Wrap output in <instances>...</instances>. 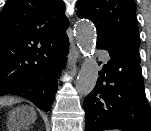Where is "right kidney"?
I'll return each instance as SVG.
<instances>
[{
    "label": "right kidney",
    "mask_w": 151,
    "mask_h": 131,
    "mask_svg": "<svg viewBox=\"0 0 151 131\" xmlns=\"http://www.w3.org/2000/svg\"><path fill=\"white\" fill-rule=\"evenodd\" d=\"M11 130H12V131H14V130L16 131V127H13Z\"/></svg>",
    "instance_id": "right-kidney-1"
}]
</instances>
